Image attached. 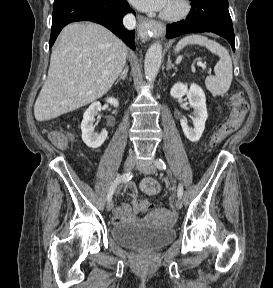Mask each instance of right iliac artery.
I'll return each instance as SVG.
<instances>
[{"mask_svg": "<svg viewBox=\"0 0 273 288\" xmlns=\"http://www.w3.org/2000/svg\"><path fill=\"white\" fill-rule=\"evenodd\" d=\"M133 177L131 172L125 173L121 176H118L112 183L111 187L109 188V191L107 193V201H110L112 199L113 193L115 191V189L117 188V186L121 183V182H128L131 178Z\"/></svg>", "mask_w": 273, "mask_h": 288, "instance_id": "82829eb1", "label": "right iliac artery"}]
</instances>
